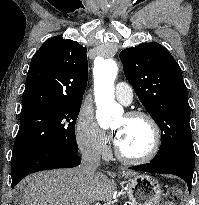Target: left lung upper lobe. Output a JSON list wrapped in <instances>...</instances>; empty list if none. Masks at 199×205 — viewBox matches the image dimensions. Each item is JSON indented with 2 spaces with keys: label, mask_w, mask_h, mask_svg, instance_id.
<instances>
[{
  "label": "left lung upper lobe",
  "mask_w": 199,
  "mask_h": 205,
  "mask_svg": "<svg viewBox=\"0 0 199 205\" xmlns=\"http://www.w3.org/2000/svg\"><path fill=\"white\" fill-rule=\"evenodd\" d=\"M120 59L126 78L162 132L152 161L195 159L187 88L170 52L156 42L144 43L121 51Z\"/></svg>",
  "instance_id": "obj_1"
}]
</instances>
